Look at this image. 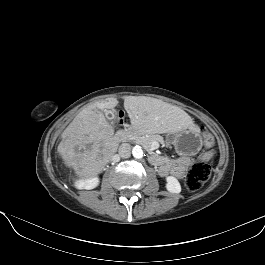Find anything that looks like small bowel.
I'll use <instances>...</instances> for the list:
<instances>
[{
    "label": "small bowel",
    "instance_id": "1",
    "mask_svg": "<svg viewBox=\"0 0 265 265\" xmlns=\"http://www.w3.org/2000/svg\"><path fill=\"white\" fill-rule=\"evenodd\" d=\"M213 155V150L210 149L203 153L201 155V158L203 160L209 159ZM163 162L160 166H158V173L160 176H167L169 174L181 178L185 171L186 168L194 161L193 158L188 157V156H181L176 159H169L167 157H163Z\"/></svg>",
    "mask_w": 265,
    "mask_h": 265
}]
</instances>
